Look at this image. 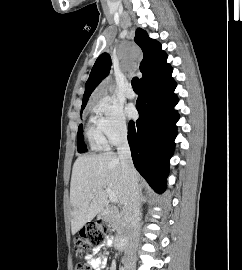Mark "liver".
<instances>
[{
    "label": "liver",
    "instance_id": "liver-1",
    "mask_svg": "<svg viewBox=\"0 0 242 270\" xmlns=\"http://www.w3.org/2000/svg\"><path fill=\"white\" fill-rule=\"evenodd\" d=\"M136 181L139 185L140 175L137 172ZM106 187L124 204L126 184L119 157L113 152L78 157L73 165L70 184L73 235L103 210L108 198ZM93 189L96 191L92 192Z\"/></svg>",
    "mask_w": 242,
    "mask_h": 270
}]
</instances>
